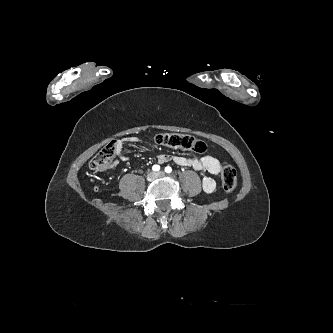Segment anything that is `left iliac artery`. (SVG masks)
Here are the masks:
<instances>
[{"label": "left iliac artery", "mask_w": 333, "mask_h": 333, "mask_svg": "<svg viewBox=\"0 0 333 333\" xmlns=\"http://www.w3.org/2000/svg\"><path fill=\"white\" fill-rule=\"evenodd\" d=\"M165 172L166 173H171L172 172V168L170 166L165 167Z\"/></svg>", "instance_id": "obj_1"}]
</instances>
